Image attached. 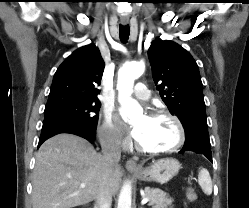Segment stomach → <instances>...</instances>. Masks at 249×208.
Returning <instances> with one entry per match:
<instances>
[{
    "mask_svg": "<svg viewBox=\"0 0 249 208\" xmlns=\"http://www.w3.org/2000/svg\"><path fill=\"white\" fill-rule=\"evenodd\" d=\"M181 165L174 158H164L153 162L149 167L136 171V176L143 181L167 183L179 172Z\"/></svg>",
    "mask_w": 249,
    "mask_h": 208,
    "instance_id": "obj_1",
    "label": "stomach"
}]
</instances>
